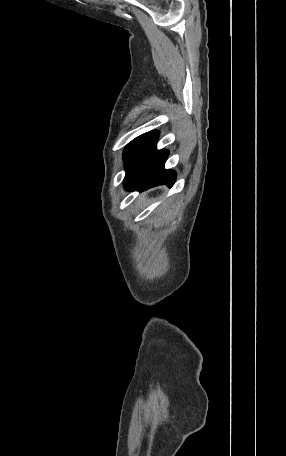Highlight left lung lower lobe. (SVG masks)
Wrapping results in <instances>:
<instances>
[{
    "label": "left lung lower lobe",
    "mask_w": 286,
    "mask_h": 456,
    "mask_svg": "<svg viewBox=\"0 0 286 456\" xmlns=\"http://www.w3.org/2000/svg\"><path fill=\"white\" fill-rule=\"evenodd\" d=\"M158 132L151 131L137 137L124 156L126 190H147L158 185L171 187L176 173L164 169L167 150H156Z\"/></svg>",
    "instance_id": "0a47b994"
}]
</instances>
